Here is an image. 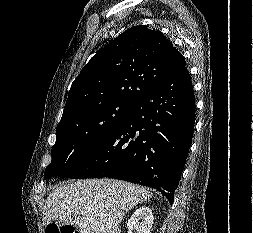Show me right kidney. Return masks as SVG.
I'll return each instance as SVG.
<instances>
[{"label": "right kidney", "instance_id": "obj_1", "mask_svg": "<svg viewBox=\"0 0 253 233\" xmlns=\"http://www.w3.org/2000/svg\"><path fill=\"white\" fill-rule=\"evenodd\" d=\"M152 223V210L147 206H142L138 208L128 220L127 228L129 233H132L131 231L133 229H136L137 233H150Z\"/></svg>", "mask_w": 253, "mask_h": 233}]
</instances>
